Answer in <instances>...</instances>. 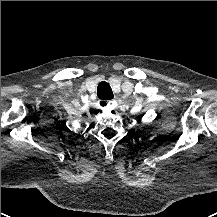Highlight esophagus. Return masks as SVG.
<instances>
[{
	"instance_id": "esophagus-1",
	"label": "esophagus",
	"mask_w": 217,
	"mask_h": 217,
	"mask_svg": "<svg viewBox=\"0 0 217 217\" xmlns=\"http://www.w3.org/2000/svg\"><path fill=\"white\" fill-rule=\"evenodd\" d=\"M98 103H99V105H101L103 107H108L111 104V101L99 100Z\"/></svg>"
}]
</instances>
